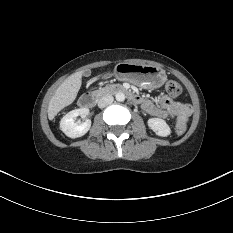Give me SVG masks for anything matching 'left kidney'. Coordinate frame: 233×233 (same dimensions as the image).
I'll return each instance as SVG.
<instances>
[{
  "mask_svg": "<svg viewBox=\"0 0 233 233\" xmlns=\"http://www.w3.org/2000/svg\"><path fill=\"white\" fill-rule=\"evenodd\" d=\"M148 126L152 129L156 135L161 137H167L171 133V129L165 120L160 118H150L148 120Z\"/></svg>",
  "mask_w": 233,
  "mask_h": 233,
  "instance_id": "obj_1",
  "label": "left kidney"
}]
</instances>
